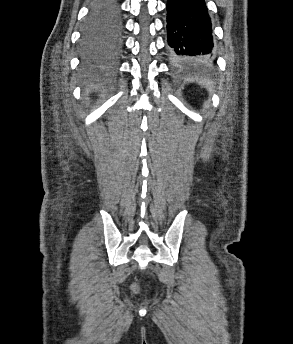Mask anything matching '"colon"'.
<instances>
[{
    "mask_svg": "<svg viewBox=\"0 0 293 344\" xmlns=\"http://www.w3.org/2000/svg\"><path fill=\"white\" fill-rule=\"evenodd\" d=\"M131 289H132V291L135 292V293H138V292L140 291V288H139V286H138L137 284H133V285L131 286Z\"/></svg>",
    "mask_w": 293,
    "mask_h": 344,
    "instance_id": "5ec220e1",
    "label": "colon"
}]
</instances>
